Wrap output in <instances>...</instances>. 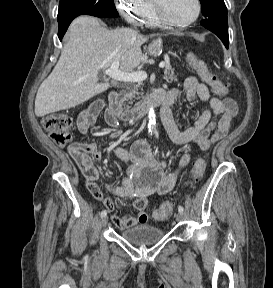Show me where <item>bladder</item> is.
I'll use <instances>...</instances> for the list:
<instances>
[{
  "label": "bladder",
  "mask_w": 273,
  "mask_h": 288,
  "mask_svg": "<svg viewBox=\"0 0 273 288\" xmlns=\"http://www.w3.org/2000/svg\"><path fill=\"white\" fill-rule=\"evenodd\" d=\"M120 236L133 245H149L158 242L164 232L158 227L142 224L122 231Z\"/></svg>",
  "instance_id": "bladder-1"
}]
</instances>
